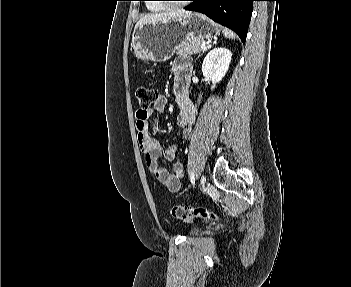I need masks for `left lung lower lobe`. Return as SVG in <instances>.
<instances>
[{
    "instance_id": "0a47b994",
    "label": "left lung lower lobe",
    "mask_w": 351,
    "mask_h": 287,
    "mask_svg": "<svg viewBox=\"0 0 351 287\" xmlns=\"http://www.w3.org/2000/svg\"><path fill=\"white\" fill-rule=\"evenodd\" d=\"M185 10L203 13L215 22L233 29L245 42L255 0H191Z\"/></svg>"
}]
</instances>
